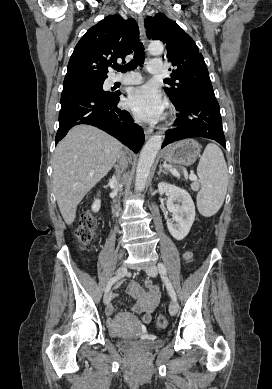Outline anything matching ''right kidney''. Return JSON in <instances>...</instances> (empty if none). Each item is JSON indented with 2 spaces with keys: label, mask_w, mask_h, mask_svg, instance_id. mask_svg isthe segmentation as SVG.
<instances>
[{
  "label": "right kidney",
  "mask_w": 272,
  "mask_h": 389,
  "mask_svg": "<svg viewBox=\"0 0 272 389\" xmlns=\"http://www.w3.org/2000/svg\"><path fill=\"white\" fill-rule=\"evenodd\" d=\"M101 206L100 199H95L94 203L92 204V211L98 212Z\"/></svg>",
  "instance_id": "obj_1"
}]
</instances>
